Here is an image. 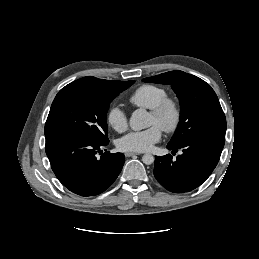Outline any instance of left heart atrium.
<instances>
[{
	"instance_id": "1",
	"label": "left heart atrium",
	"mask_w": 259,
	"mask_h": 259,
	"mask_svg": "<svg viewBox=\"0 0 259 259\" xmlns=\"http://www.w3.org/2000/svg\"><path fill=\"white\" fill-rule=\"evenodd\" d=\"M161 138V129L157 125L141 131H133L118 141V147L123 151L145 152Z\"/></svg>"
}]
</instances>
